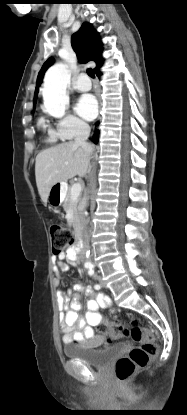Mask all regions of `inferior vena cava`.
Instances as JSON below:
<instances>
[{"label":"inferior vena cava","mask_w":187,"mask_h":415,"mask_svg":"<svg viewBox=\"0 0 187 415\" xmlns=\"http://www.w3.org/2000/svg\"><path fill=\"white\" fill-rule=\"evenodd\" d=\"M90 135V126L87 123L80 122L77 126V132L74 143L76 145L81 146L87 153H91L93 148L92 146L87 142V139ZM87 205V198L84 197L81 202V208H80V220L82 224V242H83V248L80 251L79 255H85L86 251L89 248V233H88V221L84 215V209Z\"/></svg>","instance_id":"inferior-vena-cava-1"}]
</instances>
